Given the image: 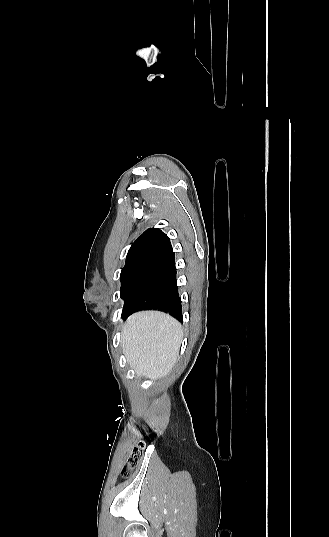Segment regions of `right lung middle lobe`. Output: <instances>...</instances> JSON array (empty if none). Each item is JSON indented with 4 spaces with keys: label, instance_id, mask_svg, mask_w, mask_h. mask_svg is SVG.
<instances>
[{
    "label": "right lung middle lobe",
    "instance_id": "1",
    "mask_svg": "<svg viewBox=\"0 0 329 537\" xmlns=\"http://www.w3.org/2000/svg\"><path fill=\"white\" fill-rule=\"evenodd\" d=\"M148 264L146 263H134L130 265H126L120 274L121 279V289H120V296L121 298H125L129 288L131 287L134 280L137 278V276L147 267Z\"/></svg>",
    "mask_w": 329,
    "mask_h": 537
}]
</instances>
